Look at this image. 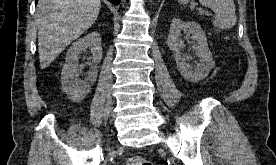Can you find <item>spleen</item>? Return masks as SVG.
<instances>
[{
  "label": "spleen",
  "instance_id": "spleen-1",
  "mask_svg": "<svg viewBox=\"0 0 276 165\" xmlns=\"http://www.w3.org/2000/svg\"><path fill=\"white\" fill-rule=\"evenodd\" d=\"M201 3L215 12L213 26L219 29H230L236 23L234 0H200ZM187 4L189 0H178Z\"/></svg>",
  "mask_w": 276,
  "mask_h": 165
}]
</instances>
